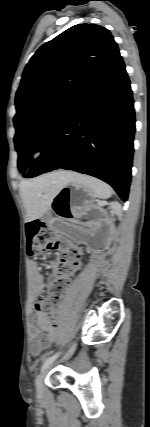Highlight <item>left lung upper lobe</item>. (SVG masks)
<instances>
[{
	"label": "left lung upper lobe",
	"mask_w": 150,
	"mask_h": 427,
	"mask_svg": "<svg viewBox=\"0 0 150 427\" xmlns=\"http://www.w3.org/2000/svg\"><path fill=\"white\" fill-rule=\"evenodd\" d=\"M118 51L109 30L85 23L67 29L33 55L15 98L14 143L21 173L83 86Z\"/></svg>",
	"instance_id": "1"
}]
</instances>
